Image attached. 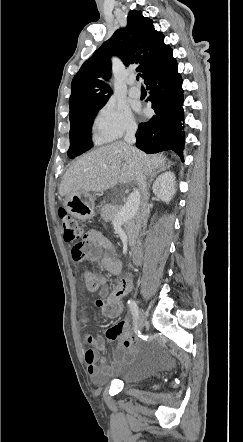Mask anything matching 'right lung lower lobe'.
Segmentation results:
<instances>
[{"mask_svg": "<svg viewBox=\"0 0 243 442\" xmlns=\"http://www.w3.org/2000/svg\"><path fill=\"white\" fill-rule=\"evenodd\" d=\"M155 115L150 121L140 123L136 146L146 153L175 151L183 159L184 132L182 78L172 50L144 79Z\"/></svg>", "mask_w": 243, "mask_h": 442, "instance_id": "98d812e1", "label": "right lung lower lobe"}]
</instances>
